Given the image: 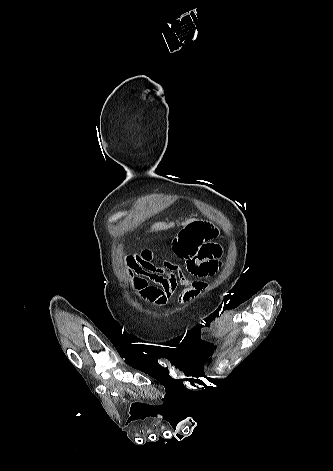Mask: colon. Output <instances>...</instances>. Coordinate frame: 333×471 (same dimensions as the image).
Listing matches in <instances>:
<instances>
[{"label": "colon", "instance_id": "5ec220e1", "mask_svg": "<svg viewBox=\"0 0 333 471\" xmlns=\"http://www.w3.org/2000/svg\"><path fill=\"white\" fill-rule=\"evenodd\" d=\"M189 221L191 220H187L185 221L184 223H188ZM174 226V223L173 222H167V221H161V222H157L155 224H153L151 227H150V231H159V230H166V229H169L171 227Z\"/></svg>", "mask_w": 333, "mask_h": 471}]
</instances>
